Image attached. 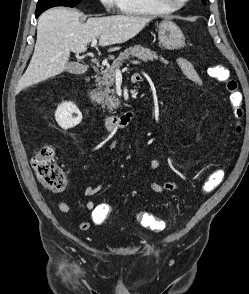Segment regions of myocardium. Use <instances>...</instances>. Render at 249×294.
Returning <instances> with one entry per match:
<instances>
[{
  "mask_svg": "<svg viewBox=\"0 0 249 294\" xmlns=\"http://www.w3.org/2000/svg\"><path fill=\"white\" fill-rule=\"evenodd\" d=\"M155 1L161 7L167 8L171 11H175V10L182 8L190 0H184V1L177 3V4H172L170 0H155Z\"/></svg>",
  "mask_w": 249,
  "mask_h": 294,
  "instance_id": "myocardium-1",
  "label": "myocardium"
}]
</instances>
